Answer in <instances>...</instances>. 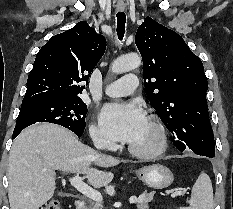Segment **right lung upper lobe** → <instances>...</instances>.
<instances>
[{
  "mask_svg": "<svg viewBox=\"0 0 233 209\" xmlns=\"http://www.w3.org/2000/svg\"><path fill=\"white\" fill-rule=\"evenodd\" d=\"M105 49V38L86 21L53 36L36 56L22 103L81 99V83L88 81Z\"/></svg>",
  "mask_w": 233,
  "mask_h": 209,
  "instance_id": "1",
  "label": "right lung upper lobe"
}]
</instances>
